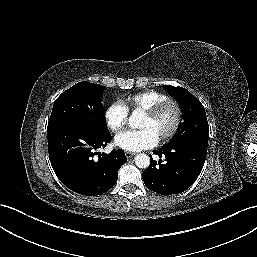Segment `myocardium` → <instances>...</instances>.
<instances>
[{
  "instance_id": "f54148a6",
  "label": "myocardium",
  "mask_w": 257,
  "mask_h": 257,
  "mask_svg": "<svg viewBox=\"0 0 257 257\" xmlns=\"http://www.w3.org/2000/svg\"><path fill=\"white\" fill-rule=\"evenodd\" d=\"M169 107L173 108L174 110V122L170 130L159 138V141H168L178 132L182 121V108L180 104L176 100L168 98L143 111L145 116L151 119H156Z\"/></svg>"
}]
</instances>
